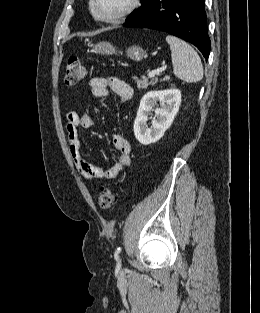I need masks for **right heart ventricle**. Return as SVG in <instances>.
Wrapping results in <instances>:
<instances>
[{"instance_id": "e07e8e85", "label": "right heart ventricle", "mask_w": 260, "mask_h": 313, "mask_svg": "<svg viewBox=\"0 0 260 313\" xmlns=\"http://www.w3.org/2000/svg\"><path fill=\"white\" fill-rule=\"evenodd\" d=\"M89 9H90V11H91V13H92V10H91V0H90V2H89ZM92 15H93V13H92ZM94 16V15H93Z\"/></svg>"}]
</instances>
